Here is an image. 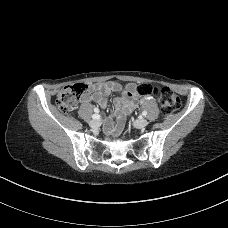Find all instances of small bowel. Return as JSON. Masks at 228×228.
<instances>
[{"instance_id": "1", "label": "small bowel", "mask_w": 228, "mask_h": 228, "mask_svg": "<svg viewBox=\"0 0 228 228\" xmlns=\"http://www.w3.org/2000/svg\"><path fill=\"white\" fill-rule=\"evenodd\" d=\"M136 89L137 87L134 83L123 85L114 81L97 82L91 85L90 92L83 96L82 102L88 103L94 101L101 108H105L107 106V96L111 92H122V95L114 100V116L117 118L116 126H112L110 119L105 122V131L107 133H118L123 128L125 116L133 111L139 100V94ZM141 100L143 102L150 101L152 97L148 95Z\"/></svg>"}]
</instances>
